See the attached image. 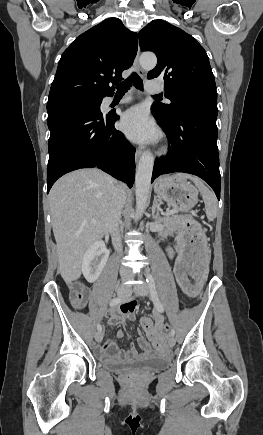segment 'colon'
Instances as JSON below:
<instances>
[{"instance_id":"1","label":"colon","mask_w":263,"mask_h":435,"mask_svg":"<svg viewBox=\"0 0 263 435\" xmlns=\"http://www.w3.org/2000/svg\"><path fill=\"white\" fill-rule=\"evenodd\" d=\"M88 291L86 287L80 283V282H72L70 284V300L72 305L77 308L81 309L84 307L86 299H87ZM170 324H166L164 328V334L170 335ZM150 341V339H149Z\"/></svg>"}]
</instances>
